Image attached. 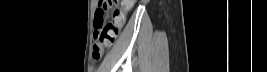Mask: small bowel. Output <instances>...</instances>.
Returning a JSON list of instances; mask_svg holds the SVG:
<instances>
[{
	"label": "small bowel",
	"instance_id": "small-bowel-1",
	"mask_svg": "<svg viewBox=\"0 0 267 72\" xmlns=\"http://www.w3.org/2000/svg\"><path fill=\"white\" fill-rule=\"evenodd\" d=\"M124 6H125V12L129 11V10L132 8V6H133V1H131V0H127V1L125 2ZM113 20H114V19H113ZM115 20H116V22L119 24V26H120V28H121L122 25H123L124 22H125V14H124L123 16H120V17L116 18Z\"/></svg>",
	"mask_w": 267,
	"mask_h": 72
}]
</instances>
